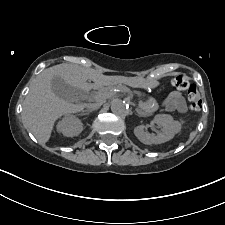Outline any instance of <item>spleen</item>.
<instances>
[{
    "label": "spleen",
    "instance_id": "3e777b00",
    "mask_svg": "<svg viewBox=\"0 0 225 225\" xmlns=\"http://www.w3.org/2000/svg\"><path fill=\"white\" fill-rule=\"evenodd\" d=\"M195 136V132H191L190 135H189V140H192Z\"/></svg>",
    "mask_w": 225,
    "mask_h": 225
}]
</instances>
